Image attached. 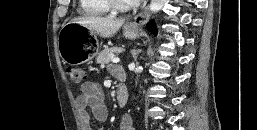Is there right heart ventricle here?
Here are the masks:
<instances>
[{"label":"right heart ventricle","mask_w":257,"mask_h":130,"mask_svg":"<svg viewBox=\"0 0 257 130\" xmlns=\"http://www.w3.org/2000/svg\"><path fill=\"white\" fill-rule=\"evenodd\" d=\"M78 10L88 16L105 15L110 11L103 0H79Z\"/></svg>","instance_id":"obj_1"}]
</instances>
